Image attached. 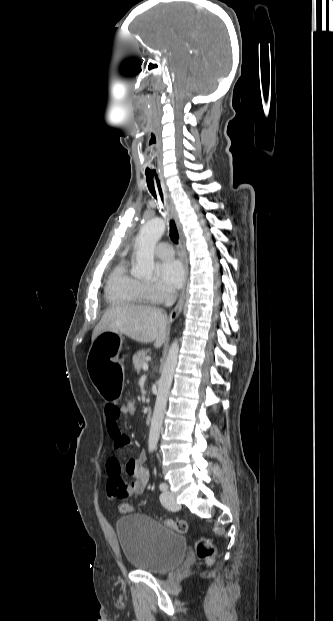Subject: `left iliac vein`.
<instances>
[{
    "instance_id": "1",
    "label": "left iliac vein",
    "mask_w": 333,
    "mask_h": 621,
    "mask_svg": "<svg viewBox=\"0 0 333 621\" xmlns=\"http://www.w3.org/2000/svg\"><path fill=\"white\" fill-rule=\"evenodd\" d=\"M160 500L162 505L169 510L176 511L180 508V505L176 502V498L173 493L167 489L162 493Z\"/></svg>"
}]
</instances>
